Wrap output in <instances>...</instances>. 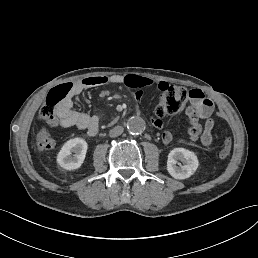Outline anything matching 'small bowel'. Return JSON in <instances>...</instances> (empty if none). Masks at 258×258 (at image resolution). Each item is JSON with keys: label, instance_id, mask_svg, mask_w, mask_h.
<instances>
[{"label": "small bowel", "instance_id": "c3829d8e", "mask_svg": "<svg viewBox=\"0 0 258 258\" xmlns=\"http://www.w3.org/2000/svg\"><path fill=\"white\" fill-rule=\"evenodd\" d=\"M109 84H122L127 87L136 89V99L141 102L142 90L153 84H156L160 91L164 90L169 84L164 81L154 82V80L138 76V75H99L85 78L75 83L74 95L80 94L83 90L95 87H102ZM213 111V103L206 98L204 93L199 89L189 91V103L186 106L185 112L188 117L189 127L186 131L187 140L197 142L208 147L212 144V129L214 121L211 119ZM59 124L62 127H76L80 130H86L90 135H95L99 128V118L96 115H89L84 112H79L73 109L72 101L69 100L65 105L58 110ZM205 119L204 128L200 120ZM156 127H162V121L158 119L152 120ZM173 137L169 131L162 134L164 145H169ZM180 143H184L185 139H180ZM55 141L50 134L42 129L38 134L37 147L41 152H47L54 148Z\"/></svg>", "mask_w": 258, "mask_h": 258}]
</instances>
